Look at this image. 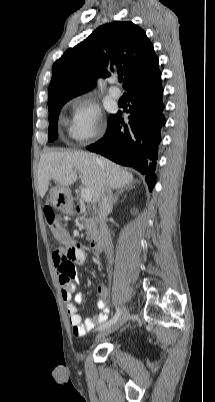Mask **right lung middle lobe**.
Listing matches in <instances>:
<instances>
[{
	"label": "right lung middle lobe",
	"mask_w": 215,
	"mask_h": 402,
	"mask_svg": "<svg viewBox=\"0 0 215 402\" xmlns=\"http://www.w3.org/2000/svg\"><path fill=\"white\" fill-rule=\"evenodd\" d=\"M71 98H58L48 104L49 108V129L48 139L54 141L57 138L58 116L62 106Z\"/></svg>",
	"instance_id": "right-lung-middle-lobe-1"
}]
</instances>
